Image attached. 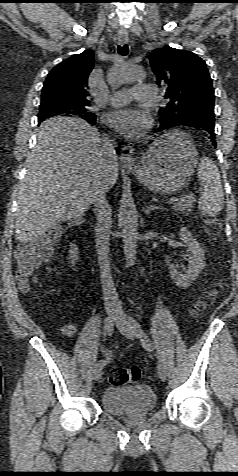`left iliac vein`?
<instances>
[{
  "instance_id": "4c4485c4",
  "label": "left iliac vein",
  "mask_w": 238,
  "mask_h": 476,
  "mask_svg": "<svg viewBox=\"0 0 238 476\" xmlns=\"http://www.w3.org/2000/svg\"><path fill=\"white\" fill-rule=\"evenodd\" d=\"M116 326L123 336L127 337L128 339L134 338L135 333H134L133 327L131 323L127 320L125 314L122 311L118 312V316L116 319ZM157 373H158V377L162 381L166 380L167 372H166L165 365L162 362L158 363Z\"/></svg>"
}]
</instances>
